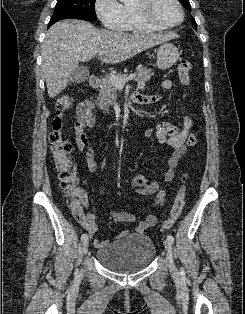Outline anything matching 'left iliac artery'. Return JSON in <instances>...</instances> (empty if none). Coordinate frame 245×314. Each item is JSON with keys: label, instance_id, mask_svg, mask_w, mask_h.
Instances as JSON below:
<instances>
[{"label": "left iliac artery", "instance_id": "44dca946", "mask_svg": "<svg viewBox=\"0 0 245 314\" xmlns=\"http://www.w3.org/2000/svg\"><path fill=\"white\" fill-rule=\"evenodd\" d=\"M167 239L171 242V243H173L174 242V238H173V236L172 235H167Z\"/></svg>", "mask_w": 245, "mask_h": 314}]
</instances>
